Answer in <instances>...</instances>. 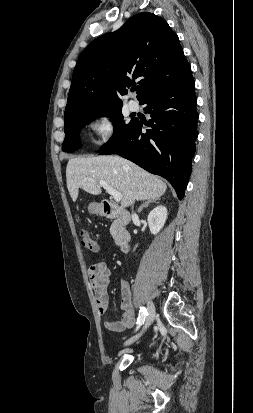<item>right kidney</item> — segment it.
I'll return each mask as SVG.
<instances>
[{
    "label": "right kidney",
    "instance_id": "ca27d5eb",
    "mask_svg": "<svg viewBox=\"0 0 253 413\" xmlns=\"http://www.w3.org/2000/svg\"><path fill=\"white\" fill-rule=\"evenodd\" d=\"M166 219L167 209L162 205L157 206L149 213L147 221L150 231L153 235L159 233V231L163 228Z\"/></svg>",
    "mask_w": 253,
    "mask_h": 413
}]
</instances>
